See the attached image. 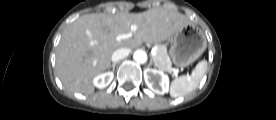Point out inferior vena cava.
<instances>
[{
	"label": "inferior vena cava",
	"mask_w": 276,
	"mask_h": 120,
	"mask_svg": "<svg viewBox=\"0 0 276 120\" xmlns=\"http://www.w3.org/2000/svg\"><path fill=\"white\" fill-rule=\"evenodd\" d=\"M131 50L129 48H119L112 54V61L118 62L124 58H126L130 54Z\"/></svg>",
	"instance_id": "602c4592"
}]
</instances>
